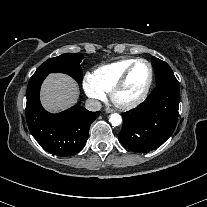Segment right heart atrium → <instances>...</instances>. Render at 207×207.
Returning a JSON list of instances; mask_svg holds the SVG:
<instances>
[{"label": "right heart atrium", "instance_id": "right-heart-atrium-1", "mask_svg": "<svg viewBox=\"0 0 207 207\" xmlns=\"http://www.w3.org/2000/svg\"><path fill=\"white\" fill-rule=\"evenodd\" d=\"M85 91L94 99H103L105 92L94 82L91 76H86L83 81Z\"/></svg>", "mask_w": 207, "mask_h": 207}]
</instances>
